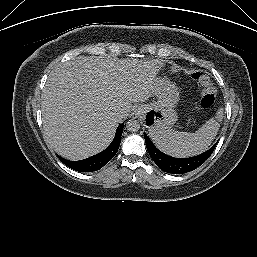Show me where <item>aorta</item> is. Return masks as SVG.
I'll list each match as a JSON object with an SVG mask.
<instances>
[{
    "instance_id": "obj_1",
    "label": "aorta",
    "mask_w": 257,
    "mask_h": 257,
    "mask_svg": "<svg viewBox=\"0 0 257 257\" xmlns=\"http://www.w3.org/2000/svg\"><path fill=\"white\" fill-rule=\"evenodd\" d=\"M126 127L130 132H137L140 129V123L137 120H129Z\"/></svg>"
}]
</instances>
